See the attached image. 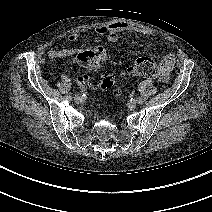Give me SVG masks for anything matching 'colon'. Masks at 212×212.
<instances>
[{
    "label": "colon",
    "mask_w": 212,
    "mask_h": 212,
    "mask_svg": "<svg viewBox=\"0 0 212 212\" xmlns=\"http://www.w3.org/2000/svg\"><path fill=\"white\" fill-rule=\"evenodd\" d=\"M107 53L103 46H96L81 53L77 61L89 70H95L103 66L106 61ZM126 74L131 77H143L148 79L159 78L161 67L154 59L143 56L137 58L126 70ZM114 78L110 75L103 77L100 83L102 90H109L114 85Z\"/></svg>",
    "instance_id": "obj_1"
}]
</instances>
